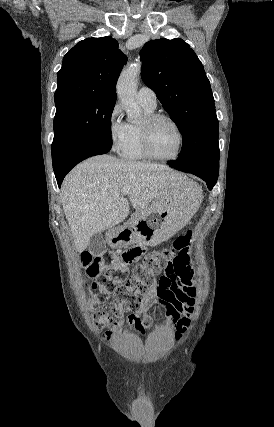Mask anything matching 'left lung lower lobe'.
Segmentation results:
<instances>
[{"mask_svg":"<svg viewBox=\"0 0 274 427\" xmlns=\"http://www.w3.org/2000/svg\"><path fill=\"white\" fill-rule=\"evenodd\" d=\"M170 167H173L177 170L192 173L201 179H203L208 188L211 190L217 182L219 174V164L211 165L207 163H187L181 161H172L168 163Z\"/></svg>","mask_w":274,"mask_h":427,"instance_id":"0a47b994","label":"left lung lower lobe"}]
</instances>
